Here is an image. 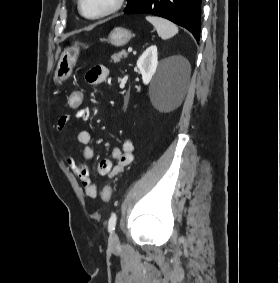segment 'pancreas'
<instances>
[{"label": "pancreas", "instance_id": "obj_1", "mask_svg": "<svg viewBox=\"0 0 280 283\" xmlns=\"http://www.w3.org/2000/svg\"><path fill=\"white\" fill-rule=\"evenodd\" d=\"M128 56L125 50L120 51L119 53H115L111 56V59L114 63H118L122 58H126Z\"/></svg>", "mask_w": 280, "mask_h": 283}]
</instances>
